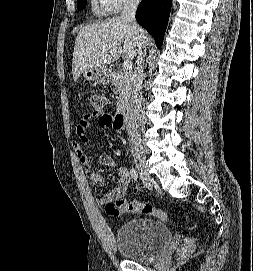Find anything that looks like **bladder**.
Returning a JSON list of instances; mask_svg holds the SVG:
<instances>
[{
	"mask_svg": "<svg viewBox=\"0 0 253 271\" xmlns=\"http://www.w3.org/2000/svg\"><path fill=\"white\" fill-rule=\"evenodd\" d=\"M171 241L169 227L158 220L137 218L122 224L115 244L126 260L150 261L160 256Z\"/></svg>",
	"mask_w": 253,
	"mask_h": 271,
	"instance_id": "1",
	"label": "bladder"
}]
</instances>
